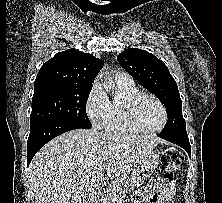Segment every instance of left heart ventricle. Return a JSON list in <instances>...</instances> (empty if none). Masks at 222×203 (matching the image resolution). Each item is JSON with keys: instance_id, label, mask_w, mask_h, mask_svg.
Segmentation results:
<instances>
[{"instance_id": "obj_1", "label": "left heart ventricle", "mask_w": 222, "mask_h": 203, "mask_svg": "<svg viewBox=\"0 0 222 203\" xmlns=\"http://www.w3.org/2000/svg\"><path fill=\"white\" fill-rule=\"evenodd\" d=\"M136 114L140 124L147 129L158 128L163 121L161 108L150 98H144L139 102Z\"/></svg>"}]
</instances>
